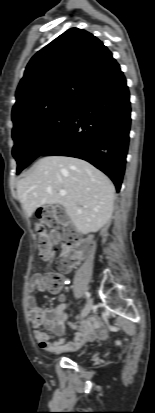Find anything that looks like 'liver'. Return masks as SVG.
<instances>
[{
    "mask_svg": "<svg viewBox=\"0 0 155 413\" xmlns=\"http://www.w3.org/2000/svg\"><path fill=\"white\" fill-rule=\"evenodd\" d=\"M60 190L66 195L61 196ZM17 194L27 217L43 205L60 204L77 231L87 234L111 219L115 188L105 174L84 160L47 156L18 182Z\"/></svg>",
    "mask_w": 155,
    "mask_h": 413,
    "instance_id": "1",
    "label": "liver"
}]
</instances>
